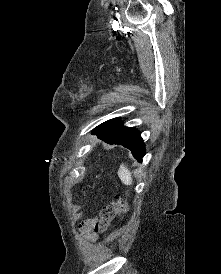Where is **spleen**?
Here are the masks:
<instances>
[{
  "mask_svg": "<svg viewBox=\"0 0 221 274\" xmlns=\"http://www.w3.org/2000/svg\"><path fill=\"white\" fill-rule=\"evenodd\" d=\"M118 176L121 179L123 184H125V185H131L132 184L131 173L126 168V166L124 164L120 165V168L118 170Z\"/></svg>",
  "mask_w": 221,
  "mask_h": 274,
  "instance_id": "3e777b00",
  "label": "spleen"
}]
</instances>
